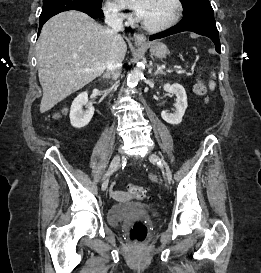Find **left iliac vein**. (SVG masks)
I'll return each mask as SVG.
<instances>
[{
    "label": "left iliac vein",
    "instance_id": "obj_1",
    "mask_svg": "<svg viewBox=\"0 0 261 273\" xmlns=\"http://www.w3.org/2000/svg\"><path fill=\"white\" fill-rule=\"evenodd\" d=\"M148 159L151 161V162H160V167L162 168V171L164 173V177L167 181L171 182L172 180V172L169 168V166L167 165V163L161 159L159 156H157L156 154H150L148 156Z\"/></svg>",
    "mask_w": 261,
    "mask_h": 273
}]
</instances>
